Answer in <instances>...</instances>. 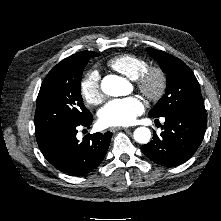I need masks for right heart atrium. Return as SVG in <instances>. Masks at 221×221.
Returning <instances> with one entry per match:
<instances>
[{
  "label": "right heart atrium",
  "mask_w": 221,
  "mask_h": 221,
  "mask_svg": "<svg viewBox=\"0 0 221 221\" xmlns=\"http://www.w3.org/2000/svg\"><path fill=\"white\" fill-rule=\"evenodd\" d=\"M80 93L84 101L90 105H97L102 102L104 94L97 70H89L84 75L80 82Z\"/></svg>",
  "instance_id": "1"
}]
</instances>
